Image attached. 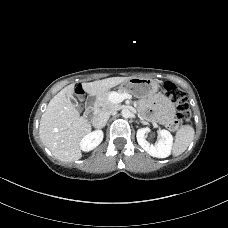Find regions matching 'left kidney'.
Listing matches in <instances>:
<instances>
[{"label": "left kidney", "mask_w": 228, "mask_h": 228, "mask_svg": "<svg viewBox=\"0 0 228 228\" xmlns=\"http://www.w3.org/2000/svg\"><path fill=\"white\" fill-rule=\"evenodd\" d=\"M149 128H140L137 130L138 144L152 157L166 158L171 154L173 137L171 133L165 129L159 131V138L154 145L146 140V133Z\"/></svg>", "instance_id": "left-kidney-1"}]
</instances>
